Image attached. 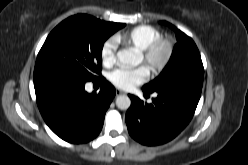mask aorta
I'll list each match as a JSON object with an SVG mask.
<instances>
[{
	"label": "aorta",
	"instance_id": "aorta-1",
	"mask_svg": "<svg viewBox=\"0 0 248 165\" xmlns=\"http://www.w3.org/2000/svg\"><path fill=\"white\" fill-rule=\"evenodd\" d=\"M117 58L122 64L136 66L140 63V58L133 50H120ZM131 105V100L127 95H119L116 99V106L121 110H127Z\"/></svg>",
	"mask_w": 248,
	"mask_h": 165
}]
</instances>
